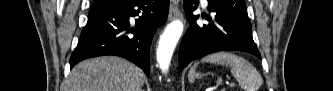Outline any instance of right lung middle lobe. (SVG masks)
<instances>
[{
	"mask_svg": "<svg viewBox=\"0 0 333 91\" xmlns=\"http://www.w3.org/2000/svg\"><path fill=\"white\" fill-rule=\"evenodd\" d=\"M126 1L125 0H94L92 8L113 7V6L120 5Z\"/></svg>",
	"mask_w": 333,
	"mask_h": 91,
	"instance_id": "obj_1",
	"label": "right lung middle lobe"
}]
</instances>
